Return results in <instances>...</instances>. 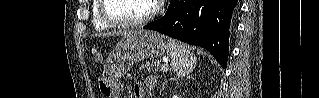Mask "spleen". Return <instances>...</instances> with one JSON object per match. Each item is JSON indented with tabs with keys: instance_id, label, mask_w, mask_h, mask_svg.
Segmentation results:
<instances>
[{
	"instance_id": "1",
	"label": "spleen",
	"mask_w": 319,
	"mask_h": 98,
	"mask_svg": "<svg viewBox=\"0 0 319 98\" xmlns=\"http://www.w3.org/2000/svg\"><path fill=\"white\" fill-rule=\"evenodd\" d=\"M167 51L170 54L173 71L177 76H185L192 72L196 66L197 58L184 45L169 40Z\"/></svg>"
}]
</instances>
